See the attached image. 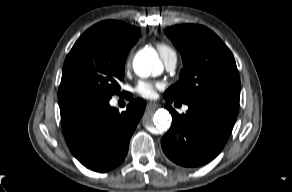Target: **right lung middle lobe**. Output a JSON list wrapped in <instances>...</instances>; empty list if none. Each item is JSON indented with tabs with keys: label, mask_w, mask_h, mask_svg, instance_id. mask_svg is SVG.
Here are the masks:
<instances>
[{
	"label": "right lung middle lobe",
	"mask_w": 292,
	"mask_h": 192,
	"mask_svg": "<svg viewBox=\"0 0 292 192\" xmlns=\"http://www.w3.org/2000/svg\"><path fill=\"white\" fill-rule=\"evenodd\" d=\"M129 49L110 46L101 32L91 27L74 44L62 72L59 94L81 92L110 99L118 91Z\"/></svg>",
	"instance_id": "1"
}]
</instances>
